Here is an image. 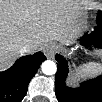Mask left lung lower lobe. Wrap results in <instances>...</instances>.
I'll return each mask as SVG.
<instances>
[{
  "label": "left lung lower lobe",
  "instance_id": "left-lung-lower-lobe-1",
  "mask_svg": "<svg viewBox=\"0 0 102 102\" xmlns=\"http://www.w3.org/2000/svg\"><path fill=\"white\" fill-rule=\"evenodd\" d=\"M81 43L87 46L93 44L101 48V29L96 28L91 34L83 36ZM56 60L60 65L55 76V94L60 102H99L102 100V77L85 81L77 88L69 87L66 85L68 62L60 55L56 56Z\"/></svg>",
  "mask_w": 102,
  "mask_h": 102
}]
</instances>
